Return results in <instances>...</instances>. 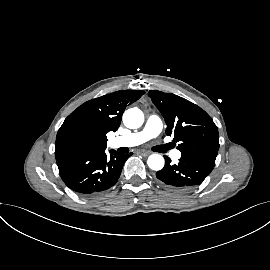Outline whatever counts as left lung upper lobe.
I'll list each match as a JSON object with an SVG mask.
<instances>
[{"instance_id": "1", "label": "left lung upper lobe", "mask_w": 270, "mask_h": 270, "mask_svg": "<svg viewBox=\"0 0 270 270\" xmlns=\"http://www.w3.org/2000/svg\"><path fill=\"white\" fill-rule=\"evenodd\" d=\"M148 95L165 119L166 134L179 143L181 157L214 168L219 134L212 118L199 106L175 94L150 90Z\"/></svg>"}]
</instances>
